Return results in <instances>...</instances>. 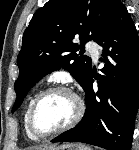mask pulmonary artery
I'll use <instances>...</instances> for the list:
<instances>
[{"label": "pulmonary artery", "instance_id": "obj_1", "mask_svg": "<svg viewBox=\"0 0 139 150\" xmlns=\"http://www.w3.org/2000/svg\"><path fill=\"white\" fill-rule=\"evenodd\" d=\"M87 51L91 54L94 60L98 59L99 56V48L95 42H88L86 44Z\"/></svg>", "mask_w": 139, "mask_h": 150}]
</instances>
